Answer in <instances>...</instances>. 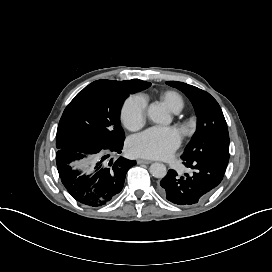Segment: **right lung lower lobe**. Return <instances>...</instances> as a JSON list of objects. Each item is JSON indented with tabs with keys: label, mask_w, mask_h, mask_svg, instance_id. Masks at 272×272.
<instances>
[{
	"label": "right lung lower lobe",
	"mask_w": 272,
	"mask_h": 272,
	"mask_svg": "<svg viewBox=\"0 0 272 272\" xmlns=\"http://www.w3.org/2000/svg\"><path fill=\"white\" fill-rule=\"evenodd\" d=\"M123 143L107 147L79 141L58 149L59 177L75 200L87 206L101 207L117 196L124 186L127 171L136 164L123 157L106 164L109 154L121 153Z\"/></svg>",
	"instance_id": "1"
}]
</instances>
